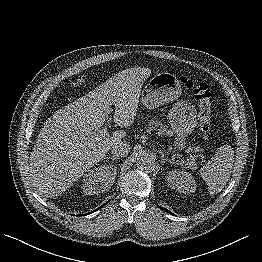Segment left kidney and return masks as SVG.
Here are the masks:
<instances>
[{
    "label": "left kidney",
    "mask_w": 262,
    "mask_h": 262,
    "mask_svg": "<svg viewBox=\"0 0 262 262\" xmlns=\"http://www.w3.org/2000/svg\"><path fill=\"white\" fill-rule=\"evenodd\" d=\"M167 183L169 187L179 193H194L196 191V182L192 175L184 170H174L167 174Z\"/></svg>",
    "instance_id": "left-kidney-1"
}]
</instances>
